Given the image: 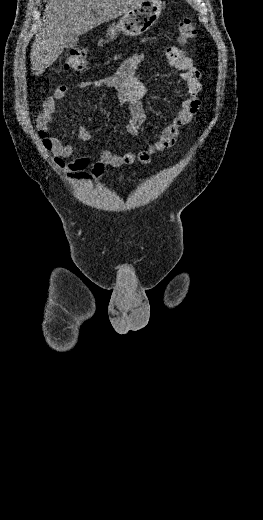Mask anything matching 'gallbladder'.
<instances>
[{"label":"gallbladder","instance_id":"1","mask_svg":"<svg viewBox=\"0 0 263 520\" xmlns=\"http://www.w3.org/2000/svg\"><path fill=\"white\" fill-rule=\"evenodd\" d=\"M65 47L68 49L74 48L77 45L78 37L73 34H68L64 37Z\"/></svg>","mask_w":263,"mask_h":520}]
</instances>
